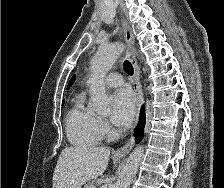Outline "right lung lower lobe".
<instances>
[{
	"mask_svg": "<svg viewBox=\"0 0 224 188\" xmlns=\"http://www.w3.org/2000/svg\"><path fill=\"white\" fill-rule=\"evenodd\" d=\"M144 126H145V110L142 107V110L140 113V121H139L137 129L135 131V137H136L137 142L141 141V139L143 137Z\"/></svg>",
	"mask_w": 224,
	"mask_h": 188,
	"instance_id": "98d812e1",
	"label": "right lung lower lobe"
}]
</instances>
